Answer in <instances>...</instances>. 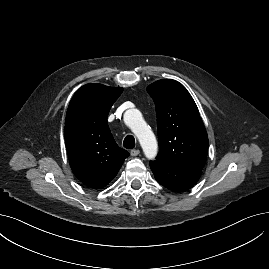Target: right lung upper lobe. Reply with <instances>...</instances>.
Returning a JSON list of instances; mask_svg holds the SVG:
<instances>
[{
    "instance_id": "obj_1",
    "label": "right lung upper lobe",
    "mask_w": 269,
    "mask_h": 269,
    "mask_svg": "<svg viewBox=\"0 0 269 269\" xmlns=\"http://www.w3.org/2000/svg\"><path fill=\"white\" fill-rule=\"evenodd\" d=\"M122 91L86 84L74 94L67 110L64 137L71 169L94 189L106 186L129 156L116 144L107 123L110 108Z\"/></svg>"
}]
</instances>
